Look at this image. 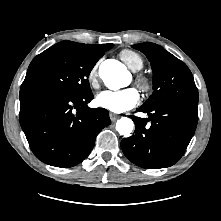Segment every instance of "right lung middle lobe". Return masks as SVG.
Masks as SVG:
<instances>
[{"label": "right lung middle lobe", "mask_w": 221, "mask_h": 221, "mask_svg": "<svg viewBox=\"0 0 221 221\" xmlns=\"http://www.w3.org/2000/svg\"><path fill=\"white\" fill-rule=\"evenodd\" d=\"M102 56L80 43L59 42L32 60L21 89L49 88L69 96L89 94V74Z\"/></svg>", "instance_id": "right-lung-middle-lobe-1"}]
</instances>
